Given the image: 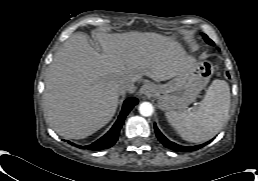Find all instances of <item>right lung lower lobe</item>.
<instances>
[{"mask_svg": "<svg viewBox=\"0 0 258 181\" xmlns=\"http://www.w3.org/2000/svg\"><path fill=\"white\" fill-rule=\"evenodd\" d=\"M138 103V99L136 98H128L124 101L122 111L113 125V127L106 133L103 137H101L99 140L95 141L91 145L88 146H80L76 145L79 148L83 149H89V150H103L106 148H110L113 146L116 141L118 140L120 129L124 123L125 117L128 115V113L131 111V109ZM73 145V143H71Z\"/></svg>", "mask_w": 258, "mask_h": 181, "instance_id": "98d812e1", "label": "right lung lower lobe"}]
</instances>
